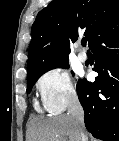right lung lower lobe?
Here are the masks:
<instances>
[{
    "label": "right lung lower lobe",
    "instance_id": "98d812e1",
    "mask_svg": "<svg viewBox=\"0 0 119 141\" xmlns=\"http://www.w3.org/2000/svg\"><path fill=\"white\" fill-rule=\"evenodd\" d=\"M90 48L96 57L93 70L99 75L94 83L77 82L85 126L95 138L119 141V17L98 31Z\"/></svg>",
    "mask_w": 119,
    "mask_h": 141
}]
</instances>
